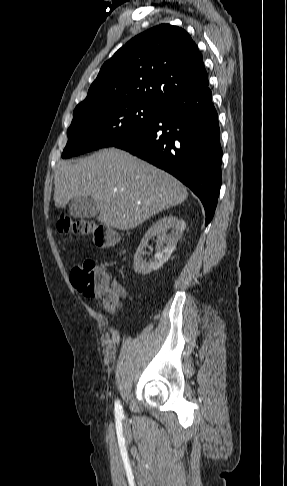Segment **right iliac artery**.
Instances as JSON below:
<instances>
[{
    "mask_svg": "<svg viewBox=\"0 0 287 486\" xmlns=\"http://www.w3.org/2000/svg\"><path fill=\"white\" fill-rule=\"evenodd\" d=\"M115 414L118 417L123 416V409H122V406L120 404V401H116V403H115Z\"/></svg>",
    "mask_w": 287,
    "mask_h": 486,
    "instance_id": "82829eb1",
    "label": "right iliac artery"
}]
</instances>
